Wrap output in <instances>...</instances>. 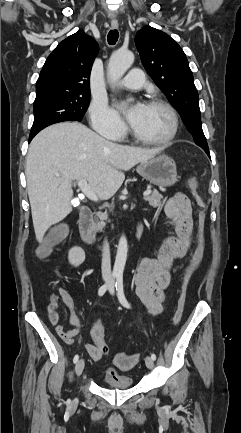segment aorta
Masks as SVG:
<instances>
[{"mask_svg": "<svg viewBox=\"0 0 241 433\" xmlns=\"http://www.w3.org/2000/svg\"><path fill=\"white\" fill-rule=\"evenodd\" d=\"M134 61V55L131 51L114 52L108 63V77L112 83L117 82L125 72L130 68ZM128 252L127 239L124 235L120 237L117 254L115 258L113 273L115 276H122L126 264Z\"/></svg>", "mask_w": 241, "mask_h": 433, "instance_id": "1", "label": "aorta"}]
</instances>
